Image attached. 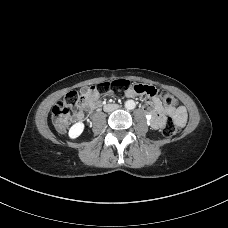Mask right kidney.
Returning a JSON list of instances; mask_svg holds the SVG:
<instances>
[{
    "mask_svg": "<svg viewBox=\"0 0 228 228\" xmlns=\"http://www.w3.org/2000/svg\"><path fill=\"white\" fill-rule=\"evenodd\" d=\"M84 123L83 122H77L74 125L71 126L69 129V137L71 139H76L79 137L82 132L84 131Z\"/></svg>",
    "mask_w": 228,
    "mask_h": 228,
    "instance_id": "ca27d5eb",
    "label": "right kidney"
}]
</instances>
